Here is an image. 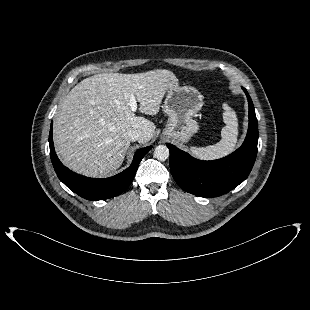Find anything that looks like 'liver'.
Segmentation results:
<instances>
[{
	"label": "liver",
	"mask_w": 310,
	"mask_h": 310,
	"mask_svg": "<svg viewBox=\"0 0 310 310\" xmlns=\"http://www.w3.org/2000/svg\"><path fill=\"white\" fill-rule=\"evenodd\" d=\"M177 81L166 69L145 73H101L78 83L61 103L53 137L60 158L73 171L90 177L112 175L130 146L128 133L141 132L148 142L155 124L136 116L129 105L134 95L139 111L156 115L165 93Z\"/></svg>",
	"instance_id": "6515ba94"
}]
</instances>
